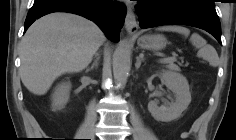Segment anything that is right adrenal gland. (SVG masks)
<instances>
[{
    "instance_id": "right-adrenal-gland-1",
    "label": "right adrenal gland",
    "mask_w": 236,
    "mask_h": 140,
    "mask_svg": "<svg viewBox=\"0 0 236 140\" xmlns=\"http://www.w3.org/2000/svg\"><path fill=\"white\" fill-rule=\"evenodd\" d=\"M94 58H95V60H94V62L92 63V65H91V67H90L89 70H92V69L98 67V62H99V59H100L99 53H96Z\"/></svg>"
}]
</instances>
